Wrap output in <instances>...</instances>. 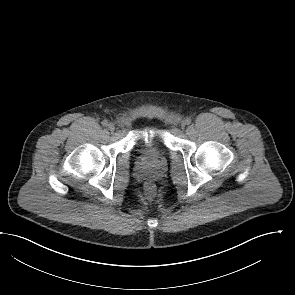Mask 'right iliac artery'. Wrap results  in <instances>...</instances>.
I'll list each match as a JSON object with an SVG mask.
<instances>
[{"label":"right iliac artery","instance_id":"82829eb1","mask_svg":"<svg viewBox=\"0 0 295 295\" xmlns=\"http://www.w3.org/2000/svg\"><path fill=\"white\" fill-rule=\"evenodd\" d=\"M102 125H103V126H108V121H107V120H103V121H102Z\"/></svg>","mask_w":295,"mask_h":295}]
</instances>
